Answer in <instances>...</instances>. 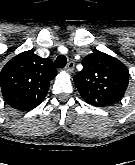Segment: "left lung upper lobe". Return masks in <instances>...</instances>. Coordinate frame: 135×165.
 I'll list each match as a JSON object with an SVG mask.
<instances>
[{
    "instance_id": "5c2ea615",
    "label": "left lung upper lobe",
    "mask_w": 135,
    "mask_h": 165,
    "mask_svg": "<svg viewBox=\"0 0 135 165\" xmlns=\"http://www.w3.org/2000/svg\"><path fill=\"white\" fill-rule=\"evenodd\" d=\"M83 69L74 76L83 99L94 106H111L123 97L129 70L117 58L95 51L83 59Z\"/></svg>"
}]
</instances>
